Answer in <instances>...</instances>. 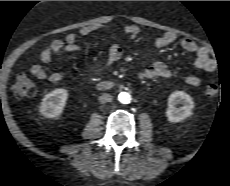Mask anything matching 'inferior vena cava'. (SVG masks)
I'll use <instances>...</instances> for the list:
<instances>
[{
	"label": "inferior vena cava",
	"mask_w": 230,
	"mask_h": 186,
	"mask_svg": "<svg viewBox=\"0 0 230 186\" xmlns=\"http://www.w3.org/2000/svg\"><path fill=\"white\" fill-rule=\"evenodd\" d=\"M112 99H113L112 95H110L108 93H104L101 96H99V98H98L99 102L102 104L111 102Z\"/></svg>",
	"instance_id": "1"
}]
</instances>
